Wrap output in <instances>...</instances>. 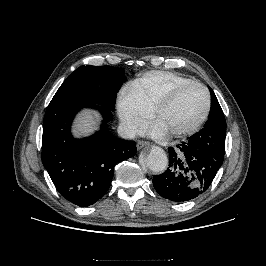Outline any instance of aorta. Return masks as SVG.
I'll list each match as a JSON object with an SVG mask.
<instances>
[{"label":"aorta","mask_w":266,"mask_h":266,"mask_svg":"<svg viewBox=\"0 0 266 266\" xmlns=\"http://www.w3.org/2000/svg\"><path fill=\"white\" fill-rule=\"evenodd\" d=\"M145 165L155 173L163 172L168 165L165 151L158 146H153L145 158Z\"/></svg>","instance_id":"762f6f07"}]
</instances>
